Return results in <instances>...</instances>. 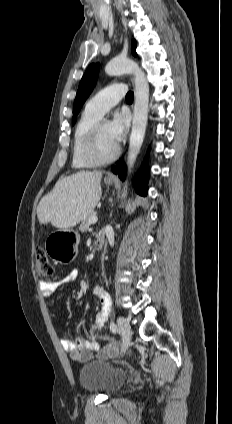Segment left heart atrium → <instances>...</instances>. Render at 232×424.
<instances>
[{"mask_svg": "<svg viewBox=\"0 0 232 424\" xmlns=\"http://www.w3.org/2000/svg\"><path fill=\"white\" fill-rule=\"evenodd\" d=\"M129 126V119L126 114L118 113L109 122V132L112 140L118 145L125 137Z\"/></svg>", "mask_w": 232, "mask_h": 424, "instance_id": "obj_1", "label": "left heart atrium"}]
</instances>
